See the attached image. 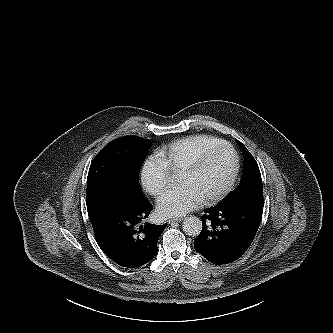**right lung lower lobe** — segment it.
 Masks as SVG:
<instances>
[{
  "label": "right lung lower lobe",
  "mask_w": 333,
  "mask_h": 333,
  "mask_svg": "<svg viewBox=\"0 0 333 333\" xmlns=\"http://www.w3.org/2000/svg\"><path fill=\"white\" fill-rule=\"evenodd\" d=\"M151 210L147 199L124 203L108 199L88 211L96 242L113 262L138 268L156 255L159 236L167 223L142 225Z\"/></svg>",
  "instance_id": "98d812e1"
}]
</instances>
